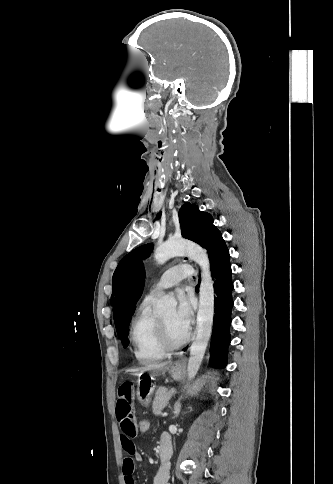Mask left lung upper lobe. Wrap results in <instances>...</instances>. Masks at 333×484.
Returning <instances> with one entry per match:
<instances>
[{
    "label": "left lung upper lobe",
    "instance_id": "1",
    "mask_svg": "<svg viewBox=\"0 0 333 484\" xmlns=\"http://www.w3.org/2000/svg\"><path fill=\"white\" fill-rule=\"evenodd\" d=\"M179 221L183 237L202 246L206 226L209 222L213 221V218L211 214L200 211L196 205L186 202L179 210ZM152 249V244H145L134 249L122 258L113 274V293L111 302H113L115 291L117 290L121 279H123L126 270H128L135 261L147 258L151 254Z\"/></svg>",
    "mask_w": 333,
    "mask_h": 484
}]
</instances>
